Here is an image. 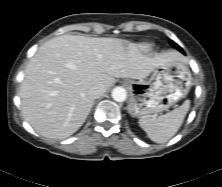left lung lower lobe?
I'll return each instance as SVG.
<instances>
[{
  "label": "left lung lower lobe",
  "instance_id": "1",
  "mask_svg": "<svg viewBox=\"0 0 222 187\" xmlns=\"http://www.w3.org/2000/svg\"><path fill=\"white\" fill-rule=\"evenodd\" d=\"M180 52H182L183 54H184V51L182 50V51H180Z\"/></svg>",
  "mask_w": 222,
  "mask_h": 187
}]
</instances>
